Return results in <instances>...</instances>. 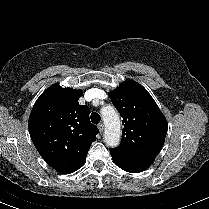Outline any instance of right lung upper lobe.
Returning <instances> with one entry per match:
<instances>
[{
    "label": "right lung upper lobe",
    "mask_w": 209,
    "mask_h": 209,
    "mask_svg": "<svg viewBox=\"0 0 209 209\" xmlns=\"http://www.w3.org/2000/svg\"><path fill=\"white\" fill-rule=\"evenodd\" d=\"M81 90L49 87L35 102L28 121L31 139L43 159L62 174L78 170L86 161L98 128L90 109L79 105Z\"/></svg>",
    "instance_id": "right-lung-upper-lobe-1"
}]
</instances>
